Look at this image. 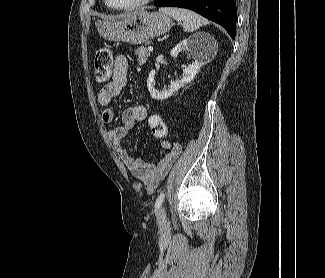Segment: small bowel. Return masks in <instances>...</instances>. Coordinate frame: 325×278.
<instances>
[{"instance_id": "1", "label": "small bowel", "mask_w": 325, "mask_h": 278, "mask_svg": "<svg viewBox=\"0 0 325 278\" xmlns=\"http://www.w3.org/2000/svg\"><path fill=\"white\" fill-rule=\"evenodd\" d=\"M129 58L125 55H118L113 65L112 80L106 84L98 93V102L104 108L102 121L109 124L114 119V110L111 107L112 99L119 95L127 86V75ZM147 117V109L142 104H133L122 112V125L111 129L108 133L117 152L122 157L129 172L142 184L147 192L155 191L160 181L166 176L171 166L177 160L181 152V145L178 142H171L162 138V150L158 155L156 163L143 158L132 156L122 145L126 136L135 122L144 121Z\"/></svg>"}]
</instances>
